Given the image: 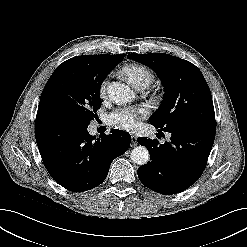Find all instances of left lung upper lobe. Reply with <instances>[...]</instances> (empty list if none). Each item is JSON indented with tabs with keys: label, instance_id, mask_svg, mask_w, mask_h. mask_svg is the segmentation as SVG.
<instances>
[{
	"label": "left lung upper lobe",
	"instance_id": "left-lung-upper-lobe-1",
	"mask_svg": "<svg viewBox=\"0 0 247 247\" xmlns=\"http://www.w3.org/2000/svg\"><path fill=\"white\" fill-rule=\"evenodd\" d=\"M153 69L165 95L150 123L166 132L188 127L216 130L212 96L201 71L191 62L165 53L129 54Z\"/></svg>",
	"mask_w": 247,
	"mask_h": 247
}]
</instances>
